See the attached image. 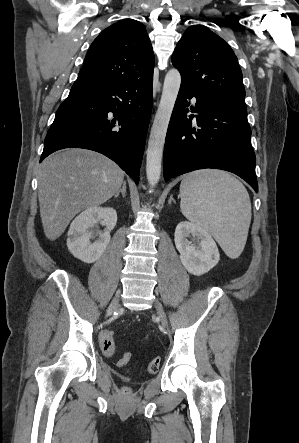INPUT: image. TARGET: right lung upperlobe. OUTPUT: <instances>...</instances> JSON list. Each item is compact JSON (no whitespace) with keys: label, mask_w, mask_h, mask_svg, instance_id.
Instances as JSON below:
<instances>
[{"label":"right lung upper lobe","mask_w":299,"mask_h":443,"mask_svg":"<svg viewBox=\"0 0 299 443\" xmlns=\"http://www.w3.org/2000/svg\"><path fill=\"white\" fill-rule=\"evenodd\" d=\"M154 54L145 26L125 19L93 41L72 88L99 87L153 76Z\"/></svg>","instance_id":"cb5924a9"}]
</instances>
